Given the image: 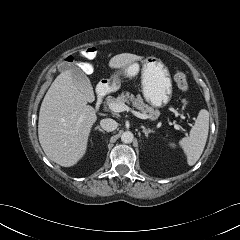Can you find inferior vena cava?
<instances>
[{
	"label": "inferior vena cava",
	"mask_w": 240,
	"mask_h": 240,
	"mask_svg": "<svg viewBox=\"0 0 240 240\" xmlns=\"http://www.w3.org/2000/svg\"><path fill=\"white\" fill-rule=\"evenodd\" d=\"M100 125L104 130L110 132L114 131L117 128L118 123L111 118H106L100 121Z\"/></svg>",
	"instance_id": "602c4592"
}]
</instances>
